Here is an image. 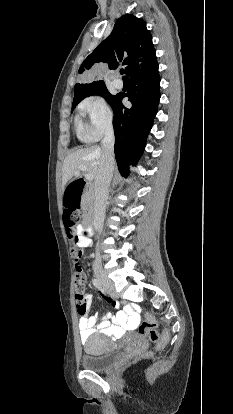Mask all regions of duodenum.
<instances>
[{
    "label": "duodenum",
    "mask_w": 233,
    "mask_h": 414,
    "mask_svg": "<svg viewBox=\"0 0 233 414\" xmlns=\"http://www.w3.org/2000/svg\"><path fill=\"white\" fill-rule=\"evenodd\" d=\"M64 192L67 195L64 201V206L69 212H76L78 210L82 195L83 199H86L89 202L93 198L91 187H88L87 183L82 179H72L66 186ZM92 205V203H89L82 213V218L85 220L84 226L90 232H94Z\"/></svg>",
    "instance_id": "410a0bca"
}]
</instances>
